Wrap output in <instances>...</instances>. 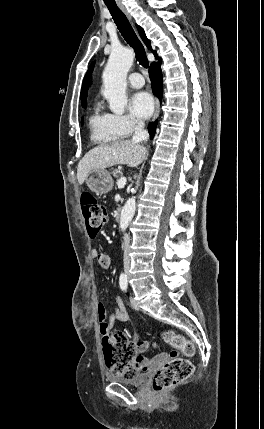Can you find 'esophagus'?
Instances as JSON below:
<instances>
[{
  "label": "esophagus",
  "instance_id": "34e87169",
  "mask_svg": "<svg viewBox=\"0 0 264 429\" xmlns=\"http://www.w3.org/2000/svg\"><path fill=\"white\" fill-rule=\"evenodd\" d=\"M120 9L126 14V16L131 20V16L129 15V13L127 12V10L125 9V7L121 4H119ZM159 114V101L158 99L155 100V111L152 117V121H154Z\"/></svg>",
  "mask_w": 264,
  "mask_h": 429
}]
</instances>
